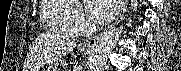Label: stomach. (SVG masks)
<instances>
[{
  "label": "stomach",
  "mask_w": 181,
  "mask_h": 71,
  "mask_svg": "<svg viewBox=\"0 0 181 71\" xmlns=\"http://www.w3.org/2000/svg\"><path fill=\"white\" fill-rule=\"evenodd\" d=\"M84 50L87 51L88 49H84ZM64 69H65L64 66L59 65L58 63H56L54 65H51V66L47 67L46 70H44V71H66Z\"/></svg>",
  "instance_id": "0dacf381"
}]
</instances>
